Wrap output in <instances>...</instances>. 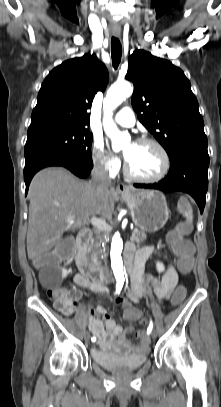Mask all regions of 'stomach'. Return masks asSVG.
<instances>
[{
    "label": "stomach",
    "mask_w": 221,
    "mask_h": 407,
    "mask_svg": "<svg viewBox=\"0 0 221 407\" xmlns=\"http://www.w3.org/2000/svg\"><path fill=\"white\" fill-rule=\"evenodd\" d=\"M131 211L134 224L145 232L163 228L169 218V209L163 193L157 190H129L122 194Z\"/></svg>",
    "instance_id": "obj_1"
}]
</instances>
